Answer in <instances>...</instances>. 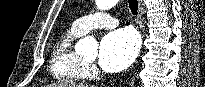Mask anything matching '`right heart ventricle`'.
Segmentation results:
<instances>
[{"instance_id": "e07e8e85", "label": "right heart ventricle", "mask_w": 205, "mask_h": 87, "mask_svg": "<svg viewBox=\"0 0 205 87\" xmlns=\"http://www.w3.org/2000/svg\"><path fill=\"white\" fill-rule=\"evenodd\" d=\"M83 35L73 26L64 32L56 41L51 61L50 73L59 82L75 83L87 77L85 62L73 47L74 40Z\"/></svg>"}]
</instances>
